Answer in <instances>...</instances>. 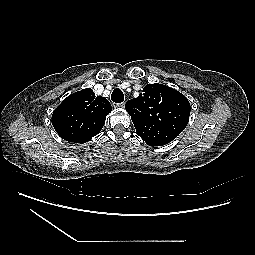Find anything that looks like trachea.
I'll list each match as a JSON object with an SVG mask.
<instances>
[{"label": "trachea", "instance_id": "trachea-1", "mask_svg": "<svg viewBox=\"0 0 255 255\" xmlns=\"http://www.w3.org/2000/svg\"><path fill=\"white\" fill-rule=\"evenodd\" d=\"M111 99L115 103H121V102L124 101V94H123V92L119 88H116L112 92Z\"/></svg>", "mask_w": 255, "mask_h": 255}]
</instances>
